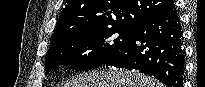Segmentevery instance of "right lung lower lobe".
<instances>
[{"mask_svg": "<svg viewBox=\"0 0 205 87\" xmlns=\"http://www.w3.org/2000/svg\"><path fill=\"white\" fill-rule=\"evenodd\" d=\"M182 40L180 19L172 3L141 22L126 45L104 65L139 70L168 87H183Z\"/></svg>", "mask_w": 205, "mask_h": 87, "instance_id": "right-lung-lower-lobe-1", "label": "right lung lower lobe"}]
</instances>
